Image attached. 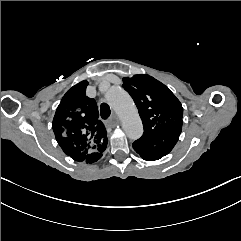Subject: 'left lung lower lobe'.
<instances>
[{
	"label": "left lung lower lobe",
	"instance_id": "0a47b994",
	"mask_svg": "<svg viewBox=\"0 0 241 241\" xmlns=\"http://www.w3.org/2000/svg\"><path fill=\"white\" fill-rule=\"evenodd\" d=\"M181 132L166 133L155 145L136 140L133 143L134 150L147 161H154L167 155L174 147Z\"/></svg>",
	"mask_w": 241,
	"mask_h": 241
}]
</instances>
